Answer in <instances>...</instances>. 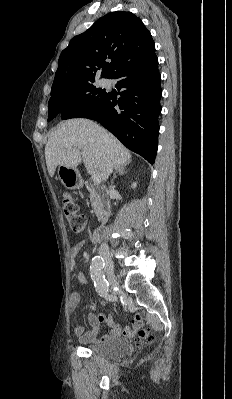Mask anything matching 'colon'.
<instances>
[{"label":"colon","instance_id":"5ec220e1","mask_svg":"<svg viewBox=\"0 0 232 399\" xmlns=\"http://www.w3.org/2000/svg\"><path fill=\"white\" fill-rule=\"evenodd\" d=\"M61 197H65L62 198V213H65V220H68L71 232H77V234H82V232H84V239L88 240L89 230H84V227H88V222H84L86 219L85 215H78L76 218V213H79V208H76V198H73V193L70 192L69 188H66L65 192H61ZM139 336L141 341L147 340L145 330H140Z\"/></svg>","mask_w":232,"mask_h":399}]
</instances>
